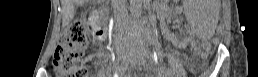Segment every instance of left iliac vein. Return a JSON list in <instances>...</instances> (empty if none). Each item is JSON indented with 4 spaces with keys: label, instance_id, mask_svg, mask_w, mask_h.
<instances>
[{
    "label": "left iliac vein",
    "instance_id": "1",
    "mask_svg": "<svg viewBox=\"0 0 258 77\" xmlns=\"http://www.w3.org/2000/svg\"><path fill=\"white\" fill-rule=\"evenodd\" d=\"M135 59L138 65H142V66L145 65V60L143 59L142 54H135Z\"/></svg>",
    "mask_w": 258,
    "mask_h": 77
}]
</instances>
